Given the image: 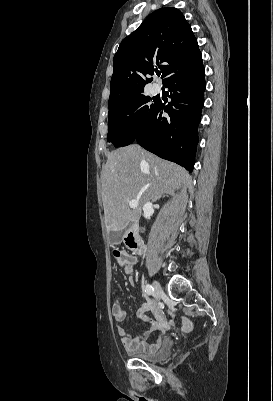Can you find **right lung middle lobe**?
I'll return each instance as SVG.
<instances>
[{
  "mask_svg": "<svg viewBox=\"0 0 273 401\" xmlns=\"http://www.w3.org/2000/svg\"><path fill=\"white\" fill-rule=\"evenodd\" d=\"M143 93L128 97L109 107L107 141L115 146L134 142L141 127L152 118L158 101Z\"/></svg>",
  "mask_w": 273,
  "mask_h": 401,
  "instance_id": "dd1d6c3e",
  "label": "right lung middle lobe"
}]
</instances>
